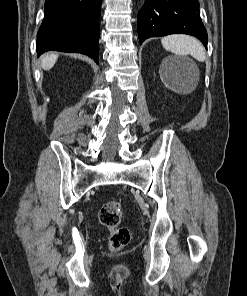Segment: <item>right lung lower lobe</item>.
<instances>
[{
    "label": "right lung lower lobe",
    "mask_w": 247,
    "mask_h": 296,
    "mask_svg": "<svg viewBox=\"0 0 247 296\" xmlns=\"http://www.w3.org/2000/svg\"><path fill=\"white\" fill-rule=\"evenodd\" d=\"M102 0H46L37 34L38 55L46 51L78 52L98 63Z\"/></svg>",
    "instance_id": "98d812e1"
}]
</instances>
